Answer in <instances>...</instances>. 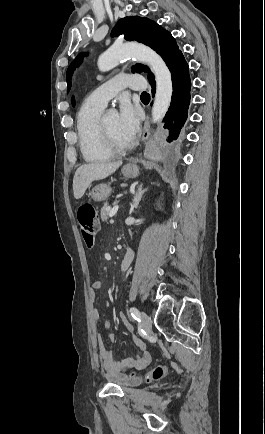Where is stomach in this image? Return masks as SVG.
Listing matches in <instances>:
<instances>
[{
  "instance_id": "stomach-1",
  "label": "stomach",
  "mask_w": 265,
  "mask_h": 434,
  "mask_svg": "<svg viewBox=\"0 0 265 434\" xmlns=\"http://www.w3.org/2000/svg\"><path fill=\"white\" fill-rule=\"evenodd\" d=\"M122 174L125 178H137L139 176V168L136 164H127V166H123ZM112 190L107 186V184H98V186H94L93 190H91V198L95 200V202H102V200H107L111 194Z\"/></svg>"
}]
</instances>
